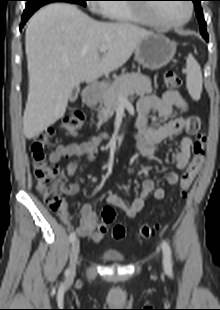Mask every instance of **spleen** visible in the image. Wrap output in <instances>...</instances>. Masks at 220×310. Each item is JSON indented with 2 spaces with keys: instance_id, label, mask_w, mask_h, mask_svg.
Segmentation results:
<instances>
[{
  "instance_id": "spleen-1",
  "label": "spleen",
  "mask_w": 220,
  "mask_h": 310,
  "mask_svg": "<svg viewBox=\"0 0 220 310\" xmlns=\"http://www.w3.org/2000/svg\"><path fill=\"white\" fill-rule=\"evenodd\" d=\"M187 89L194 100H199L202 92V74L198 62L192 55L187 58Z\"/></svg>"
}]
</instances>
